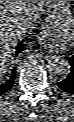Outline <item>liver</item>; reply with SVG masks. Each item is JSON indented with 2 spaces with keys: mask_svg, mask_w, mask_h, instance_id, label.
Masks as SVG:
<instances>
[{
  "mask_svg": "<svg viewBox=\"0 0 74 122\" xmlns=\"http://www.w3.org/2000/svg\"><path fill=\"white\" fill-rule=\"evenodd\" d=\"M65 1H0V72L3 76L17 43L33 27L44 6H61ZM30 22L21 32L20 27Z\"/></svg>",
  "mask_w": 74,
  "mask_h": 122,
  "instance_id": "1",
  "label": "liver"
}]
</instances>
